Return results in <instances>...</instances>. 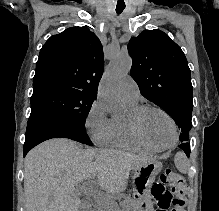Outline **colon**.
I'll list each match as a JSON object with an SVG mask.
<instances>
[{"instance_id":"obj_1","label":"colon","mask_w":219,"mask_h":211,"mask_svg":"<svg viewBox=\"0 0 219 211\" xmlns=\"http://www.w3.org/2000/svg\"><path fill=\"white\" fill-rule=\"evenodd\" d=\"M159 181L171 188L173 195L171 211H185L187 187L183 176L177 171L167 168L160 174Z\"/></svg>"}]
</instances>
